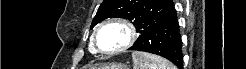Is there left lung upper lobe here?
I'll list each match as a JSON object with an SVG mask.
<instances>
[{"instance_id":"obj_1","label":"left lung upper lobe","mask_w":246,"mask_h":69,"mask_svg":"<svg viewBox=\"0 0 246 69\" xmlns=\"http://www.w3.org/2000/svg\"><path fill=\"white\" fill-rule=\"evenodd\" d=\"M176 12L172 0H104L91 28L106 18L120 17L132 21L142 34L149 27L169 19Z\"/></svg>"}]
</instances>
